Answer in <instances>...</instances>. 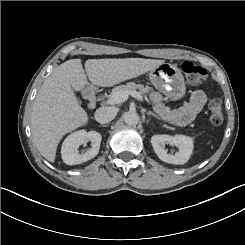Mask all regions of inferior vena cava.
<instances>
[{
  "instance_id": "inferior-vena-cava-1",
  "label": "inferior vena cava",
  "mask_w": 245,
  "mask_h": 245,
  "mask_svg": "<svg viewBox=\"0 0 245 245\" xmlns=\"http://www.w3.org/2000/svg\"><path fill=\"white\" fill-rule=\"evenodd\" d=\"M117 112L114 108L103 106L95 111V119L98 123L104 124L110 122L116 116Z\"/></svg>"
}]
</instances>
